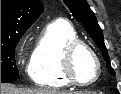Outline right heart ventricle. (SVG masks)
<instances>
[{"mask_svg":"<svg viewBox=\"0 0 121 94\" xmlns=\"http://www.w3.org/2000/svg\"><path fill=\"white\" fill-rule=\"evenodd\" d=\"M74 39H78V34L65 20H55L45 27L29 65V76L33 83L50 89H62L71 85L63 75L62 54L66 44Z\"/></svg>","mask_w":121,"mask_h":94,"instance_id":"obj_1","label":"right heart ventricle"}]
</instances>
